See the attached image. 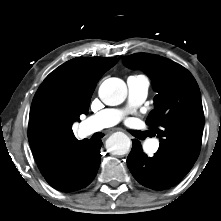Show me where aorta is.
<instances>
[{
  "mask_svg": "<svg viewBox=\"0 0 221 221\" xmlns=\"http://www.w3.org/2000/svg\"><path fill=\"white\" fill-rule=\"evenodd\" d=\"M127 96V86L122 79L108 78L99 87V97L103 103L110 106L121 104ZM129 137L117 132L107 140V148L116 155H124L130 149Z\"/></svg>",
  "mask_w": 221,
  "mask_h": 221,
  "instance_id": "obj_1",
  "label": "aorta"
}]
</instances>
